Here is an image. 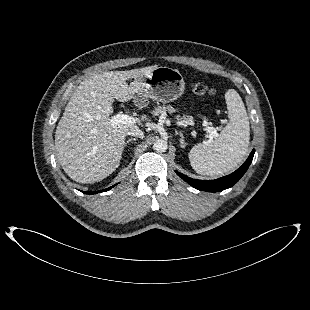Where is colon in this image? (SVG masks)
<instances>
[{
    "mask_svg": "<svg viewBox=\"0 0 310 310\" xmlns=\"http://www.w3.org/2000/svg\"><path fill=\"white\" fill-rule=\"evenodd\" d=\"M191 91L198 96L213 95L215 93L213 89H209L202 83L191 84Z\"/></svg>",
    "mask_w": 310,
    "mask_h": 310,
    "instance_id": "1",
    "label": "colon"
}]
</instances>
